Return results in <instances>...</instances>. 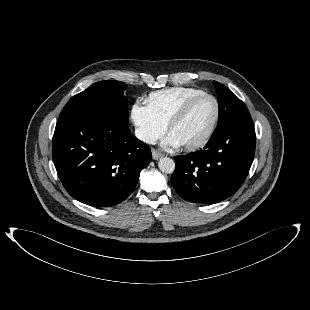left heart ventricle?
<instances>
[{
  "mask_svg": "<svg viewBox=\"0 0 310 310\" xmlns=\"http://www.w3.org/2000/svg\"><path fill=\"white\" fill-rule=\"evenodd\" d=\"M214 114V102L204 98L193 105L187 116L173 128L171 133L180 144L192 143L205 134Z\"/></svg>",
  "mask_w": 310,
  "mask_h": 310,
  "instance_id": "b2bd125f",
  "label": "left heart ventricle"
}]
</instances>
